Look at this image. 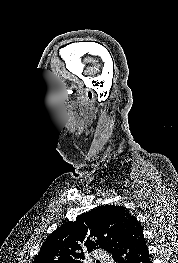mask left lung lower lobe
Returning a JSON list of instances; mask_svg holds the SVG:
<instances>
[{
  "label": "left lung lower lobe",
  "mask_w": 178,
  "mask_h": 263,
  "mask_svg": "<svg viewBox=\"0 0 178 263\" xmlns=\"http://www.w3.org/2000/svg\"><path fill=\"white\" fill-rule=\"evenodd\" d=\"M113 257L118 263H152L142 229L135 216H132Z\"/></svg>",
  "instance_id": "obj_1"
}]
</instances>
